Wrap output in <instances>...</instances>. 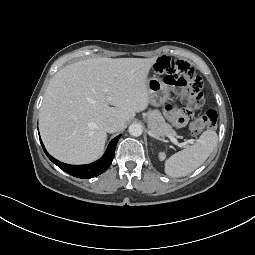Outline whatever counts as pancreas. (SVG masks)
I'll list each match as a JSON object with an SVG mask.
<instances>
[{
  "label": "pancreas",
  "instance_id": "pancreas-1",
  "mask_svg": "<svg viewBox=\"0 0 255 255\" xmlns=\"http://www.w3.org/2000/svg\"><path fill=\"white\" fill-rule=\"evenodd\" d=\"M148 126L157 136L172 135L178 137L172 126L165 122L162 114L158 110L149 111L147 113Z\"/></svg>",
  "mask_w": 255,
  "mask_h": 255
}]
</instances>
